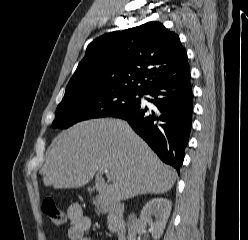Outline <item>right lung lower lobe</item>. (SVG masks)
I'll use <instances>...</instances> for the list:
<instances>
[{
    "instance_id": "obj_1",
    "label": "right lung lower lobe",
    "mask_w": 248,
    "mask_h": 240,
    "mask_svg": "<svg viewBox=\"0 0 248 240\" xmlns=\"http://www.w3.org/2000/svg\"><path fill=\"white\" fill-rule=\"evenodd\" d=\"M190 70L150 87L145 95L157 109L140 102L114 114L123 118L156 152L160 159L179 173L188 144L193 114Z\"/></svg>"
}]
</instances>
